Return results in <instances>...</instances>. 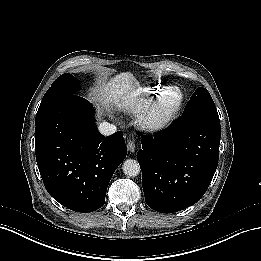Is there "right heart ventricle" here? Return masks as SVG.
<instances>
[{
	"label": "right heart ventricle",
	"mask_w": 261,
	"mask_h": 261,
	"mask_svg": "<svg viewBox=\"0 0 261 261\" xmlns=\"http://www.w3.org/2000/svg\"><path fill=\"white\" fill-rule=\"evenodd\" d=\"M149 93L154 94L153 92H149ZM145 95H147V94H145ZM148 96H149V95H148ZM138 110H139V109L136 108V107H131V111H132L133 113H136Z\"/></svg>",
	"instance_id": "e07e8e85"
}]
</instances>
